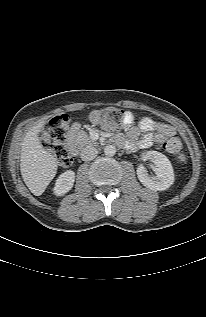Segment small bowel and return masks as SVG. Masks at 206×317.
<instances>
[{"label": "small bowel", "instance_id": "obj_1", "mask_svg": "<svg viewBox=\"0 0 206 317\" xmlns=\"http://www.w3.org/2000/svg\"><path fill=\"white\" fill-rule=\"evenodd\" d=\"M135 117L131 112H126L124 127L126 128V145L132 149H145L154 143H161L167 136L174 134L171 125L157 122L149 117H144L137 125H133ZM143 136L139 138L140 134ZM117 139L122 141V137Z\"/></svg>", "mask_w": 206, "mask_h": 317}]
</instances>
